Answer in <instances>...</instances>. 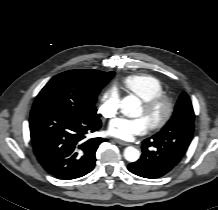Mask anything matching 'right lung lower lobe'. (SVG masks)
Returning <instances> with one entry per match:
<instances>
[{
  "instance_id": "1",
  "label": "right lung lower lobe",
  "mask_w": 218,
  "mask_h": 210,
  "mask_svg": "<svg viewBox=\"0 0 218 210\" xmlns=\"http://www.w3.org/2000/svg\"><path fill=\"white\" fill-rule=\"evenodd\" d=\"M30 136L41 166L59 179H76L93 170L102 138L87 139L100 129L99 117L87 118L60 108L31 111Z\"/></svg>"
}]
</instances>
